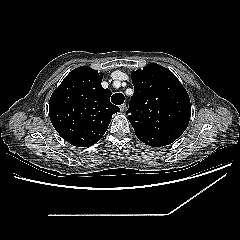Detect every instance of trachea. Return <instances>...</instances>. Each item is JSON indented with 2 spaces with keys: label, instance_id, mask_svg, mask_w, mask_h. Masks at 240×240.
I'll list each match as a JSON object with an SVG mask.
<instances>
[{
  "label": "trachea",
  "instance_id": "obj_1",
  "mask_svg": "<svg viewBox=\"0 0 240 240\" xmlns=\"http://www.w3.org/2000/svg\"><path fill=\"white\" fill-rule=\"evenodd\" d=\"M124 95L122 93H115L112 97H111V102L115 105H121L124 102Z\"/></svg>",
  "mask_w": 240,
  "mask_h": 240
}]
</instances>
